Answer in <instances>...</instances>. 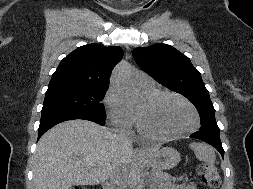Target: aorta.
I'll return each instance as SVG.
<instances>
[{"label": "aorta", "instance_id": "1", "mask_svg": "<svg viewBox=\"0 0 253 189\" xmlns=\"http://www.w3.org/2000/svg\"><path fill=\"white\" fill-rule=\"evenodd\" d=\"M112 85L121 95L127 107H137L141 103L142 96L133 84L128 65H119L114 70ZM134 189H143V185L139 183V178L136 179Z\"/></svg>", "mask_w": 253, "mask_h": 189}]
</instances>
